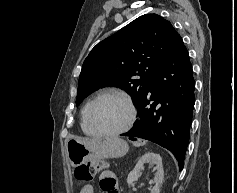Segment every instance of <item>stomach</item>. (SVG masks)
Here are the masks:
<instances>
[{"instance_id":"1","label":"stomach","mask_w":237,"mask_h":193,"mask_svg":"<svg viewBox=\"0 0 237 193\" xmlns=\"http://www.w3.org/2000/svg\"><path fill=\"white\" fill-rule=\"evenodd\" d=\"M128 150L127 142L121 138L91 142L70 139L66 144L67 158L73 167L80 166L88 160L120 158L125 156Z\"/></svg>"}]
</instances>
